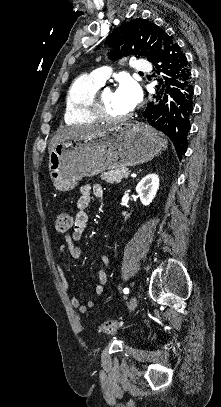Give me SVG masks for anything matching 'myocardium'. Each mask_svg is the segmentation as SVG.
Here are the masks:
<instances>
[{"label": "myocardium", "mask_w": 221, "mask_h": 407, "mask_svg": "<svg viewBox=\"0 0 221 407\" xmlns=\"http://www.w3.org/2000/svg\"><path fill=\"white\" fill-rule=\"evenodd\" d=\"M90 113L97 120L107 121V122H112V123L125 121L132 116L131 112H129L125 115H122V116H114V115L110 114L107 110L105 101L103 99V92L96 93L93 103L90 106Z\"/></svg>", "instance_id": "obj_1"}]
</instances>
